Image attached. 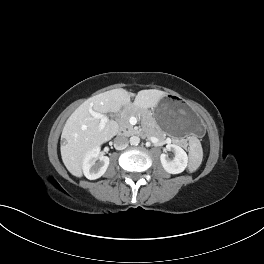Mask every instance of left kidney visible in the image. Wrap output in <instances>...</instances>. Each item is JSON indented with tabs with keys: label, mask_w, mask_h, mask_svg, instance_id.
I'll list each match as a JSON object with an SVG mask.
<instances>
[{
	"label": "left kidney",
	"mask_w": 264,
	"mask_h": 264,
	"mask_svg": "<svg viewBox=\"0 0 264 264\" xmlns=\"http://www.w3.org/2000/svg\"><path fill=\"white\" fill-rule=\"evenodd\" d=\"M166 149L174 153V158L170 159L165 153L161 154L160 161L164 170L170 174H179L188 165L186 152L176 144H167Z\"/></svg>",
	"instance_id": "5707ae66"
}]
</instances>
